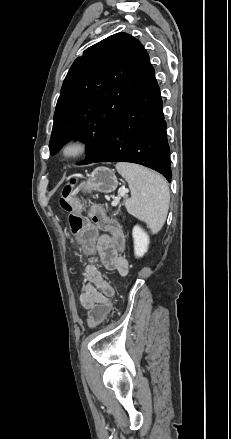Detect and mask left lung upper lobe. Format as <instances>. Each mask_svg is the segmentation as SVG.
<instances>
[{
  "instance_id": "left-lung-upper-lobe-1",
  "label": "left lung upper lobe",
  "mask_w": 231,
  "mask_h": 439,
  "mask_svg": "<svg viewBox=\"0 0 231 439\" xmlns=\"http://www.w3.org/2000/svg\"><path fill=\"white\" fill-rule=\"evenodd\" d=\"M151 64L142 44L117 33L94 44L72 64L54 113L50 153L71 139L87 144L89 164L100 151Z\"/></svg>"
}]
</instances>
